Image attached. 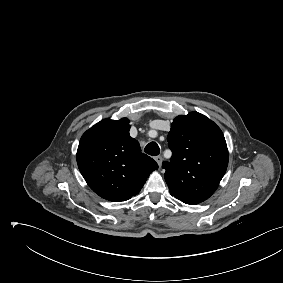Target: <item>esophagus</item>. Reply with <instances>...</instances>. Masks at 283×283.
Wrapping results in <instances>:
<instances>
[{
  "label": "esophagus",
  "instance_id": "1",
  "mask_svg": "<svg viewBox=\"0 0 283 283\" xmlns=\"http://www.w3.org/2000/svg\"><path fill=\"white\" fill-rule=\"evenodd\" d=\"M155 160H156V162H157V164L159 165V167L162 165V161H163V158H162V156H156L155 157Z\"/></svg>",
  "mask_w": 283,
  "mask_h": 283
}]
</instances>
